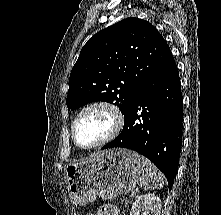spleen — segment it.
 Wrapping results in <instances>:
<instances>
[{"mask_svg":"<svg viewBox=\"0 0 221 215\" xmlns=\"http://www.w3.org/2000/svg\"><path fill=\"white\" fill-rule=\"evenodd\" d=\"M141 164L143 174L140 179V187L144 190L162 188L164 185V178L157 167L145 157H141Z\"/></svg>","mask_w":221,"mask_h":215,"instance_id":"1","label":"spleen"}]
</instances>
